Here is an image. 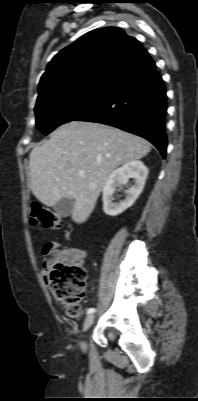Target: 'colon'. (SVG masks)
Wrapping results in <instances>:
<instances>
[{
    "instance_id": "colon-1",
    "label": "colon",
    "mask_w": 198,
    "mask_h": 401,
    "mask_svg": "<svg viewBox=\"0 0 198 401\" xmlns=\"http://www.w3.org/2000/svg\"><path fill=\"white\" fill-rule=\"evenodd\" d=\"M62 220L61 214L43 207L38 202L31 205L32 226L41 224L46 229L55 230L61 227ZM49 286L55 299L65 306L67 314L72 318H80L82 315L80 304L86 292V270L82 261L55 264Z\"/></svg>"
}]
</instances>
